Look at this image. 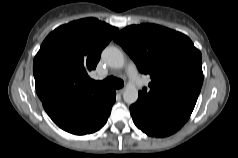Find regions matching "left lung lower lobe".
Returning a JSON list of instances; mask_svg holds the SVG:
<instances>
[{"label":"left lung lower lobe","mask_w":238,"mask_h":158,"mask_svg":"<svg viewBox=\"0 0 238 158\" xmlns=\"http://www.w3.org/2000/svg\"><path fill=\"white\" fill-rule=\"evenodd\" d=\"M197 97L186 95L167 100H152L139 95L130 106L135 125L144 133L155 137L169 136L178 131L190 117Z\"/></svg>","instance_id":"0a47b994"}]
</instances>
